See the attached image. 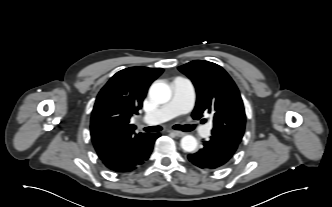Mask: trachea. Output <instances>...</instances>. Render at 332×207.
<instances>
[{"label":"trachea","instance_id":"trachea-1","mask_svg":"<svg viewBox=\"0 0 332 207\" xmlns=\"http://www.w3.org/2000/svg\"><path fill=\"white\" fill-rule=\"evenodd\" d=\"M173 128L176 130H182L184 132H189L194 129V125H184V126L175 125ZM144 130L146 132H158V131L162 130V127L161 126H150V127L144 128Z\"/></svg>","mask_w":332,"mask_h":207}]
</instances>
